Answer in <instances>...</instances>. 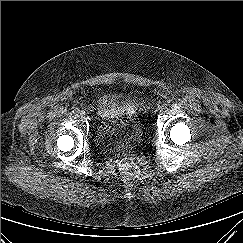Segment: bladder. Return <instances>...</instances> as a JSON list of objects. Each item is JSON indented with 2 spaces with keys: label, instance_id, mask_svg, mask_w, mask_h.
I'll return each instance as SVG.
<instances>
[{
  "label": "bladder",
  "instance_id": "31cf9c89",
  "mask_svg": "<svg viewBox=\"0 0 243 243\" xmlns=\"http://www.w3.org/2000/svg\"><path fill=\"white\" fill-rule=\"evenodd\" d=\"M122 121L123 124L118 125L106 119L101 120L95 127V141L101 146H121L139 142L143 131L135 106L127 105Z\"/></svg>",
  "mask_w": 243,
  "mask_h": 243
}]
</instances>
